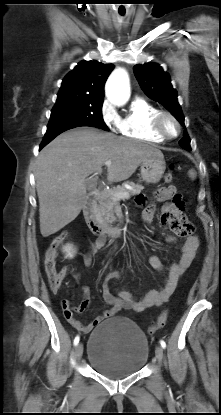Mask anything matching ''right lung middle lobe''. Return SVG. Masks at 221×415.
Returning a JSON list of instances; mask_svg holds the SVG:
<instances>
[{"instance_id": "1", "label": "right lung middle lobe", "mask_w": 221, "mask_h": 415, "mask_svg": "<svg viewBox=\"0 0 221 415\" xmlns=\"http://www.w3.org/2000/svg\"><path fill=\"white\" fill-rule=\"evenodd\" d=\"M103 99L58 95L48 126L83 125L109 131L102 118Z\"/></svg>"}]
</instances>
